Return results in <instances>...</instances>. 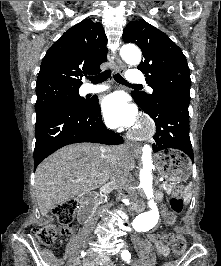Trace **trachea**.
<instances>
[{
	"label": "trachea",
	"instance_id": "trachea-1",
	"mask_svg": "<svg viewBox=\"0 0 221 266\" xmlns=\"http://www.w3.org/2000/svg\"><path fill=\"white\" fill-rule=\"evenodd\" d=\"M111 75V71L110 70H106L105 72H102L96 76H89L88 79L94 83V84H98V83H102L105 80H107ZM114 79L117 83L119 84H123V85H127V86H140V85H135V84H130L128 83L120 74H115L114 75Z\"/></svg>",
	"mask_w": 221,
	"mask_h": 266
}]
</instances>
